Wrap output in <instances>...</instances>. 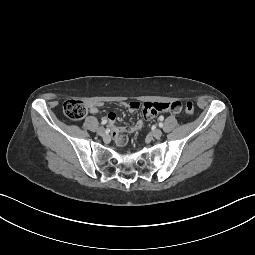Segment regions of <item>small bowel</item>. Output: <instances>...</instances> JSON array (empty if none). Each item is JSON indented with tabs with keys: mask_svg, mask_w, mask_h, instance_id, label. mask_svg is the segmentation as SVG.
<instances>
[{
	"mask_svg": "<svg viewBox=\"0 0 255 255\" xmlns=\"http://www.w3.org/2000/svg\"><path fill=\"white\" fill-rule=\"evenodd\" d=\"M99 103H91L89 105L92 114L98 113ZM139 102H131L128 107L131 111L139 107ZM183 111V104L180 101L172 100L170 102H146L143 104V115L146 119H151L159 113L180 114ZM117 116L111 112L108 114L106 120L113 126ZM142 126V122H138L133 127H115L113 126V135L118 145H123L127 140V133H131L135 129Z\"/></svg>",
	"mask_w": 255,
	"mask_h": 255,
	"instance_id": "small-bowel-1",
	"label": "small bowel"
}]
</instances>
